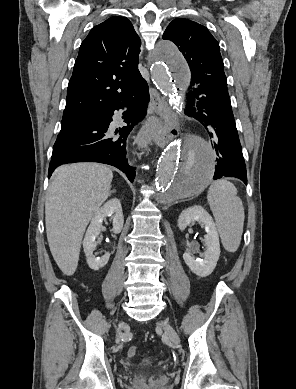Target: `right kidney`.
Instances as JSON below:
<instances>
[{
	"instance_id": "1",
	"label": "right kidney",
	"mask_w": 296,
	"mask_h": 389,
	"mask_svg": "<svg viewBox=\"0 0 296 389\" xmlns=\"http://www.w3.org/2000/svg\"><path fill=\"white\" fill-rule=\"evenodd\" d=\"M107 217H111L113 232L115 234L120 233L123 228L124 217L119 199L112 198L99 208L91 219V223L86 231L83 248L87 264L94 271L103 268L110 258L109 253L104 254L102 257H95L94 255L97 246L96 238L99 236L103 228L102 223Z\"/></svg>"
}]
</instances>
